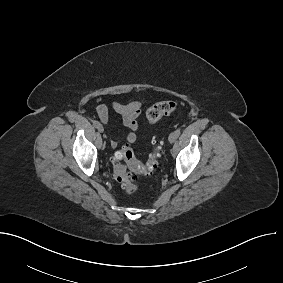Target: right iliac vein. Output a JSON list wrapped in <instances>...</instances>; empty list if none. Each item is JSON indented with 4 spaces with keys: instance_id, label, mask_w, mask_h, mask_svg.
<instances>
[{
    "instance_id": "right-iliac-vein-1",
    "label": "right iliac vein",
    "mask_w": 283,
    "mask_h": 283,
    "mask_svg": "<svg viewBox=\"0 0 283 283\" xmlns=\"http://www.w3.org/2000/svg\"><path fill=\"white\" fill-rule=\"evenodd\" d=\"M98 131L101 132V133L104 131V128H103L102 125H100V126L98 127Z\"/></svg>"
}]
</instances>
